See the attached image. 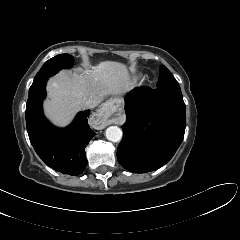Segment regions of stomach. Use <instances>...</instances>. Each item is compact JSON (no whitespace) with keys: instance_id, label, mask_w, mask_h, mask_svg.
<instances>
[{"instance_id":"obj_1","label":"stomach","mask_w":240,"mask_h":240,"mask_svg":"<svg viewBox=\"0 0 240 240\" xmlns=\"http://www.w3.org/2000/svg\"><path fill=\"white\" fill-rule=\"evenodd\" d=\"M117 104H118V105L121 104V100H120V99L117 100Z\"/></svg>"}]
</instances>
